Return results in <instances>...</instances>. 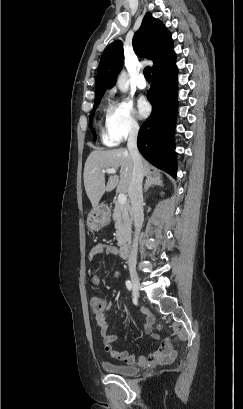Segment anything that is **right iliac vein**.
Masks as SVG:
<instances>
[{
    "label": "right iliac vein",
    "mask_w": 243,
    "mask_h": 409,
    "mask_svg": "<svg viewBox=\"0 0 243 409\" xmlns=\"http://www.w3.org/2000/svg\"><path fill=\"white\" fill-rule=\"evenodd\" d=\"M130 277H131V282H132L133 289H134L136 295L139 296L140 282H139L138 275H137V273H136V271L134 269L130 270Z\"/></svg>",
    "instance_id": "obj_1"
}]
</instances>
